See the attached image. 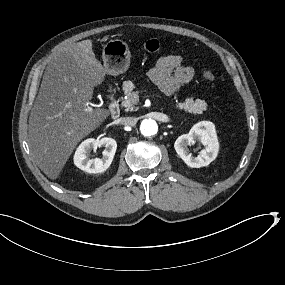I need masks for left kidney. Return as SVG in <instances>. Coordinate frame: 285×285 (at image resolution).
<instances>
[{
	"label": "left kidney",
	"instance_id": "obj_1",
	"mask_svg": "<svg viewBox=\"0 0 285 285\" xmlns=\"http://www.w3.org/2000/svg\"><path fill=\"white\" fill-rule=\"evenodd\" d=\"M199 141L205 146L197 157H194L188 149V145ZM174 148L181 159L192 168H200L209 165L218 155L219 142L217 139L215 125L210 121L196 123L188 134L177 138Z\"/></svg>",
	"mask_w": 285,
	"mask_h": 285
}]
</instances>
